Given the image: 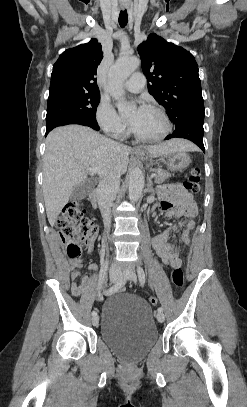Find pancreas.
Listing matches in <instances>:
<instances>
[{"label":"pancreas","instance_id":"cf45deb5","mask_svg":"<svg viewBox=\"0 0 247 407\" xmlns=\"http://www.w3.org/2000/svg\"><path fill=\"white\" fill-rule=\"evenodd\" d=\"M152 172L156 174L155 176L156 183H163L166 179H168L171 176L170 173L161 168L152 169Z\"/></svg>","mask_w":247,"mask_h":407}]
</instances>
